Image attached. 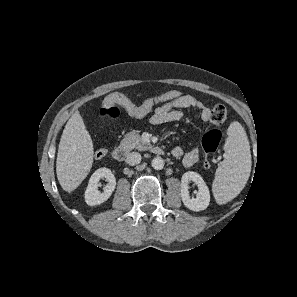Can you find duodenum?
<instances>
[{
	"label": "duodenum",
	"instance_id": "1",
	"mask_svg": "<svg viewBox=\"0 0 297 297\" xmlns=\"http://www.w3.org/2000/svg\"><path fill=\"white\" fill-rule=\"evenodd\" d=\"M151 151L156 155H163L165 153L164 149L159 146H153L151 148ZM129 153V148L125 144H121L117 147H115L112 151V157L118 161L122 162L126 159L127 155Z\"/></svg>",
	"mask_w": 297,
	"mask_h": 297
}]
</instances>
